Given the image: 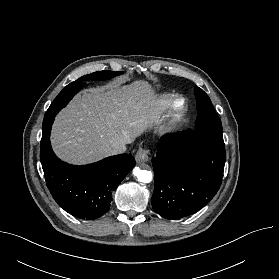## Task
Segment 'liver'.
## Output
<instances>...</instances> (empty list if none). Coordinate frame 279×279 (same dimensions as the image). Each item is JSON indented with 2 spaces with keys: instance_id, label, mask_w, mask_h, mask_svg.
<instances>
[{
  "instance_id": "6515ba94",
  "label": "liver",
  "mask_w": 279,
  "mask_h": 279,
  "mask_svg": "<svg viewBox=\"0 0 279 279\" xmlns=\"http://www.w3.org/2000/svg\"><path fill=\"white\" fill-rule=\"evenodd\" d=\"M153 90L145 81L90 88L75 96L51 131L55 154L73 165L109 156L112 144H128L153 127Z\"/></svg>"
}]
</instances>
